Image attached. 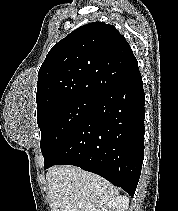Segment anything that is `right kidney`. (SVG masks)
I'll return each mask as SVG.
<instances>
[{
    "label": "right kidney",
    "mask_w": 178,
    "mask_h": 211,
    "mask_svg": "<svg viewBox=\"0 0 178 211\" xmlns=\"http://www.w3.org/2000/svg\"><path fill=\"white\" fill-rule=\"evenodd\" d=\"M128 206L129 198L125 195H121L108 202L101 211H127Z\"/></svg>",
    "instance_id": "1"
}]
</instances>
